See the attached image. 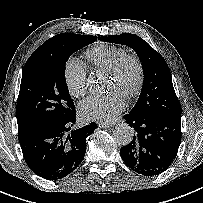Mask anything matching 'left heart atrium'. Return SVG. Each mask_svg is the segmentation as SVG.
<instances>
[{"instance_id": "left-heart-atrium-1", "label": "left heart atrium", "mask_w": 203, "mask_h": 203, "mask_svg": "<svg viewBox=\"0 0 203 203\" xmlns=\"http://www.w3.org/2000/svg\"><path fill=\"white\" fill-rule=\"evenodd\" d=\"M124 109L120 99L90 96L79 105V115L85 121L109 122Z\"/></svg>"}]
</instances>
